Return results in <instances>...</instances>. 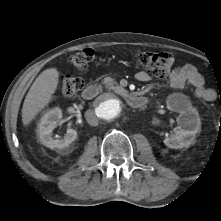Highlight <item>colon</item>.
<instances>
[{"mask_svg":"<svg viewBox=\"0 0 221 221\" xmlns=\"http://www.w3.org/2000/svg\"><path fill=\"white\" fill-rule=\"evenodd\" d=\"M94 58V51L90 48L82 49L70 57V63L77 71H85ZM138 65L147 73L164 78L171 71L174 59L171 54L165 52H140L135 56ZM84 86L82 77L64 75L60 79V89L64 96H75ZM221 103V99H220Z\"/></svg>","mask_w":221,"mask_h":221,"instance_id":"1","label":"colon"}]
</instances>
